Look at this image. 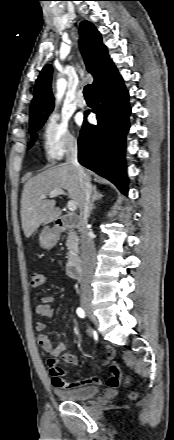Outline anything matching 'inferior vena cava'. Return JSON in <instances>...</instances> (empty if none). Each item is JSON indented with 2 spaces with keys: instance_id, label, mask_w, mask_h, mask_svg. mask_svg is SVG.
Here are the masks:
<instances>
[{
  "instance_id": "602c4592",
  "label": "inferior vena cava",
  "mask_w": 174,
  "mask_h": 440,
  "mask_svg": "<svg viewBox=\"0 0 174 440\" xmlns=\"http://www.w3.org/2000/svg\"><path fill=\"white\" fill-rule=\"evenodd\" d=\"M66 162L73 165L75 168L83 191V200L80 208L81 216V228H80V243H81V256L83 260V271L81 277V292L82 296L91 295V279L95 267V245L93 239L89 235V229L87 228L88 217L91 213V198H92V185L88 177L87 172L78 162V147L75 141H71L68 144L66 151Z\"/></svg>"
}]
</instances>
